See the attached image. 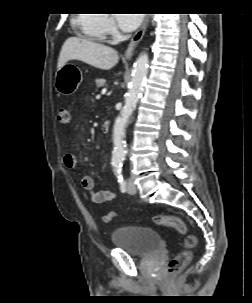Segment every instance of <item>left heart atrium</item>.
Returning <instances> with one entry per match:
<instances>
[{"label": "left heart atrium", "mask_w": 252, "mask_h": 303, "mask_svg": "<svg viewBox=\"0 0 252 303\" xmlns=\"http://www.w3.org/2000/svg\"><path fill=\"white\" fill-rule=\"evenodd\" d=\"M118 26L123 31H132L138 27L142 16L140 14H115Z\"/></svg>", "instance_id": "obj_1"}]
</instances>
